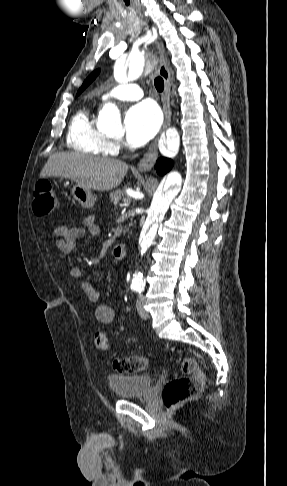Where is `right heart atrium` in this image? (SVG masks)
Instances as JSON below:
<instances>
[{"mask_svg": "<svg viewBox=\"0 0 287 486\" xmlns=\"http://www.w3.org/2000/svg\"><path fill=\"white\" fill-rule=\"evenodd\" d=\"M110 145H111V148H112L113 151L117 150L118 143H116V142H110Z\"/></svg>", "mask_w": 287, "mask_h": 486, "instance_id": "1", "label": "right heart atrium"}]
</instances>
